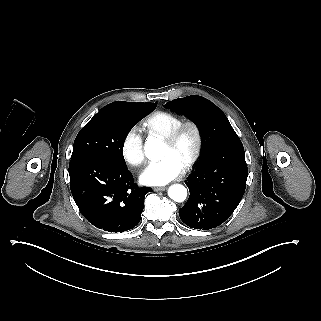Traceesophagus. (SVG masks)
<instances>
[{
    "mask_svg": "<svg viewBox=\"0 0 321 321\" xmlns=\"http://www.w3.org/2000/svg\"><path fill=\"white\" fill-rule=\"evenodd\" d=\"M167 189V187H157L154 188V191H165Z\"/></svg>",
    "mask_w": 321,
    "mask_h": 321,
    "instance_id": "34e87169",
    "label": "esophagus"
}]
</instances>
